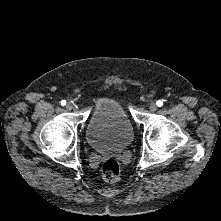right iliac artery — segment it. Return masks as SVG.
Returning a JSON list of instances; mask_svg holds the SVG:
<instances>
[{
    "label": "right iliac artery",
    "mask_w": 221,
    "mask_h": 221,
    "mask_svg": "<svg viewBox=\"0 0 221 221\" xmlns=\"http://www.w3.org/2000/svg\"><path fill=\"white\" fill-rule=\"evenodd\" d=\"M65 104H66V101H65V100H62V101H61V105L64 106Z\"/></svg>",
    "instance_id": "82829eb1"
}]
</instances>
